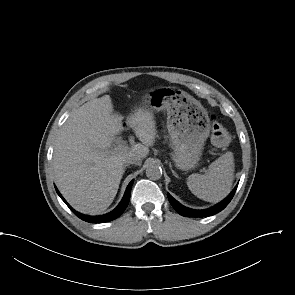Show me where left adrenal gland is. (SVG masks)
Returning a JSON list of instances; mask_svg holds the SVG:
<instances>
[{
  "instance_id": "obj_1",
  "label": "left adrenal gland",
  "mask_w": 295,
  "mask_h": 295,
  "mask_svg": "<svg viewBox=\"0 0 295 295\" xmlns=\"http://www.w3.org/2000/svg\"><path fill=\"white\" fill-rule=\"evenodd\" d=\"M170 169H171L173 175H174L176 178H179V176L177 175V173L172 169L171 165H170Z\"/></svg>"
}]
</instances>
